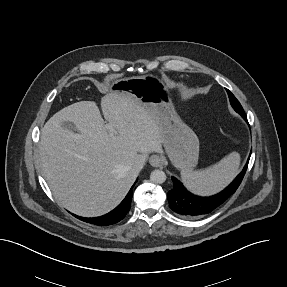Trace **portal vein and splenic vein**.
<instances>
[{
  "label": "portal vein and splenic vein",
  "instance_id": "obj_1",
  "mask_svg": "<svg viewBox=\"0 0 287 287\" xmlns=\"http://www.w3.org/2000/svg\"><path fill=\"white\" fill-rule=\"evenodd\" d=\"M107 129L110 130L111 132H115L114 127L111 124L106 125Z\"/></svg>",
  "mask_w": 287,
  "mask_h": 287
}]
</instances>
